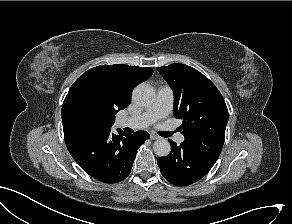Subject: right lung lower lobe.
I'll use <instances>...</instances> for the list:
<instances>
[{
    "instance_id": "1",
    "label": "right lung lower lobe",
    "mask_w": 292,
    "mask_h": 224,
    "mask_svg": "<svg viewBox=\"0 0 292 224\" xmlns=\"http://www.w3.org/2000/svg\"><path fill=\"white\" fill-rule=\"evenodd\" d=\"M118 133L68 130L64 138L71 156L86 173L104 183H117L129 175L137 149L149 138L146 131Z\"/></svg>"
}]
</instances>
